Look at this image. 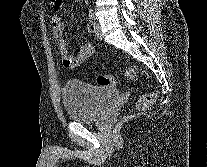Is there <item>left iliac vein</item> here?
<instances>
[{"instance_id": "obj_1", "label": "left iliac vein", "mask_w": 207, "mask_h": 167, "mask_svg": "<svg viewBox=\"0 0 207 167\" xmlns=\"http://www.w3.org/2000/svg\"><path fill=\"white\" fill-rule=\"evenodd\" d=\"M93 29H94V33L95 35L99 38V39H102V32H101V27H100V24L95 21L94 24H93Z\"/></svg>"}]
</instances>
